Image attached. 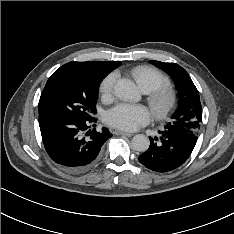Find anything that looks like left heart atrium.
Returning <instances> with one entry per match:
<instances>
[{"label": "left heart atrium", "mask_w": 234, "mask_h": 234, "mask_svg": "<svg viewBox=\"0 0 234 234\" xmlns=\"http://www.w3.org/2000/svg\"><path fill=\"white\" fill-rule=\"evenodd\" d=\"M151 115L141 105L119 104L105 114L107 124L125 131H133L147 124Z\"/></svg>", "instance_id": "left-heart-atrium-1"}]
</instances>
